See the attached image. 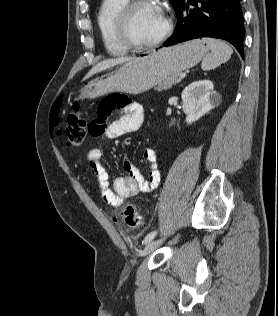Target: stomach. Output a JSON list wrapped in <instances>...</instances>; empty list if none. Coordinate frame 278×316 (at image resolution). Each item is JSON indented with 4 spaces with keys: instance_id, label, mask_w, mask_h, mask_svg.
<instances>
[{
    "instance_id": "obj_1",
    "label": "stomach",
    "mask_w": 278,
    "mask_h": 316,
    "mask_svg": "<svg viewBox=\"0 0 278 316\" xmlns=\"http://www.w3.org/2000/svg\"><path fill=\"white\" fill-rule=\"evenodd\" d=\"M207 51L198 39L153 51L88 82L80 90V98L94 99L110 92H145L168 77L197 65Z\"/></svg>"
}]
</instances>
